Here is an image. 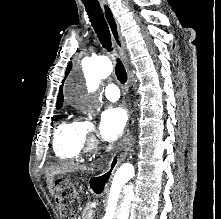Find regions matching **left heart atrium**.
I'll return each instance as SVG.
<instances>
[{"mask_svg":"<svg viewBox=\"0 0 221 219\" xmlns=\"http://www.w3.org/2000/svg\"><path fill=\"white\" fill-rule=\"evenodd\" d=\"M128 121V114L122 106H111L106 109L98 127L99 136L105 141L116 139L125 128Z\"/></svg>","mask_w":221,"mask_h":219,"instance_id":"1","label":"left heart atrium"}]
</instances>
